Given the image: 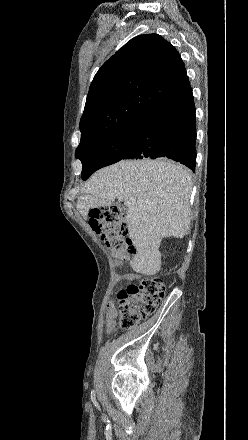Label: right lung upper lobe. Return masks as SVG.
<instances>
[{
	"instance_id": "1",
	"label": "right lung upper lobe",
	"mask_w": 248,
	"mask_h": 440,
	"mask_svg": "<svg viewBox=\"0 0 248 440\" xmlns=\"http://www.w3.org/2000/svg\"><path fill=\"white\" fill-rule=\"evenodd\" d=\"M191 90L183 61L169 42L158 34L131 39L104 63L91 83L77 149Z\"/></svg>"
}]
</instances>
